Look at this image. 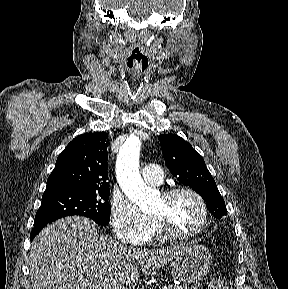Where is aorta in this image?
<instances>
[{
    "mask_svg": "<svg viewBox=\"0 0 288 289\" xmlns=\"http://www.w3.org/2000/svg\"><path fill=\"white\" fill-rule=\"evenodd\" d=\"M141 142L131 136L119 150L116 163V175L120 187L126 196L143 212L151 211L156 203V193L141 178L139 154Z\"/></svg>",
    "mask_w": 288,
    "mask_h": 289,
    "instance_id": "obj_1",
    "label": "aorta"
}]
</instances>
